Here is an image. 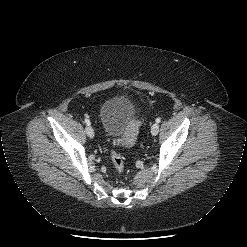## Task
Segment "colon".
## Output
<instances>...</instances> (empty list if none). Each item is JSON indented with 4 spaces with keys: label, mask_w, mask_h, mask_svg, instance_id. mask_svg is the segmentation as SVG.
Returning a JSON list of instances; mask_svg holds the SVG:
<instances>
[{
    "label": "colon",
    "mask_w": 247,
    "mask_h": 247,
    "mask_svg": "<svg viewBox=\"0 0 247 247\" xmlns=\"http://www.w3.org/2000/svg\"><path fill=\"white\" fill-rule=\"evenodd\" d=\"M111 160H112V163H113L115 169L119 173H122L124 170V160H123V157L121 156V154L118 153L117 151L113 150L111 152Z\"/></svg>",
    "instance_id": "5ec220e1"
}]
</instances>
